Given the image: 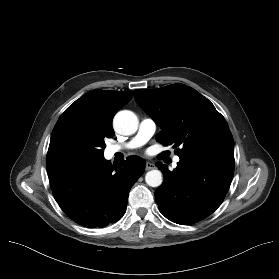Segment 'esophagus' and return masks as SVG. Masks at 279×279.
<instances>
[{
  "label": "esophagus",
  "mask_w": 279,
  "mask_h": 279,
  "mask_svg": "<svg viewBox=\"0 0 279 279\" xmlns=\"http://www.w3.org/2000/svg\"><path fill=\"white\" fill-rule=\"evenodd\" d=\"M155 168V165L152 162H146V170H152Z\"/></svg>",
  "instance_id": "obj_1"
}]
</instances>
